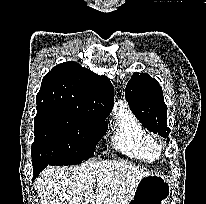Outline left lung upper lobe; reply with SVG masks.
Masks as SVG:
<instances>
[{
	"mask_svg": "<svg viewBox=\"0 0 206 204\" xmlns=\"http://www.w3.org/2000/svg\"><path fill=\"white\" fill-rule=\"evenodd\" d=\"M125 97L137 119L153 133L167 137V106L162 88L149 74L135 72L126 85ZM169 140V139H168Z\"/></svg>",
	"mask_w": 206,
	"mask_h": 204,
	"instance_id": "1",
	"label": "left lung upper lobe"
}]
</instances>
